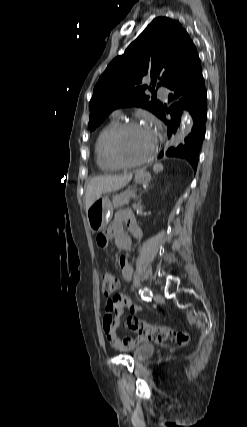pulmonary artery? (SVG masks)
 Returning a JSON list of instances; mask_svg holds the SVG:
<instances>
[{"mask_svg":"<svg viewBox=\"0 0 247 427\" xmlns=\"http://www.w3.org/2000/svg\"><path fill=\"white\" fill-rule=\"evenodd\" d=\"M159 95L163 98V99H167L168 98V90L166 88H159L158 90ZM120 114L119 110H116L113 115L114 116H118Z\"/></svg>","mask_w":247,"mask_h":427,"instance_id":"pulmonary-artery-1","label":"pulmonary artery"}]
</instances>
